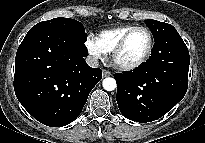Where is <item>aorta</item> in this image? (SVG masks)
I'll list each match as a JSON object with an SVG mask.
<instances>
[{
  "instance_id": "762f6f07",
  "label": "aorta",
  "mask_w": 205,
  "mask_h": 143,
  "mask_svg": "<svg viewBox=\"0 0 205 143\" xmlns=\"http://www.w3.org/2000/svg\"><path fill=\"white\" fill-rule=\"evenodd\" d=\"M102 85L106 91H113L116 88V81L114 78L107 77L103 80Z\"/></svg>"
}]
</instances>
